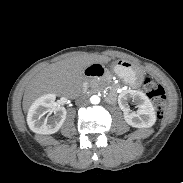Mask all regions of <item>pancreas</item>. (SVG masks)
<instances>
[{"label":"pancreas","mask_w":183,"mask_h":183,"mask_svg":"<svg viewBox=\"0 0 183 183\" xmlns=\"http://www.w3.org/2000/svg\"><path fill=\"white\" fill-rule=\"evenodd\" d=\"M90 85H91V87H93V88H95V87H97V85H98V82L97 81H91L90 82Z\"/></svg>","instance_id":"obj_1"}]
</instances>
